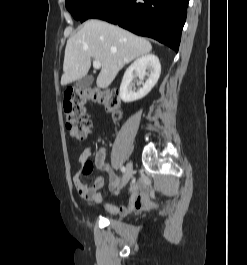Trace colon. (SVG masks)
Segmentation results:
<instances>
[{"mask_svg": "<svg viewBox=\"0 0 247 265\" xmlns=\"http://www.w3.org/2000/svg\"><path fill=\"white\" fill-rule=\"evenodd\" d=\"M90 101L102 106L114 119H119L122 115L119 94L115 90L83 88L67 91L63 103L66 127L79 143L86 142L91 133L92 124L87 113V104ZM92 170L93 166L89 163L86 171L90 173Z\"/></svg>", "mask_w": 247, "mask_h": 265, "instance_id": "obj_1", "label": "colon"}]
</instances>
